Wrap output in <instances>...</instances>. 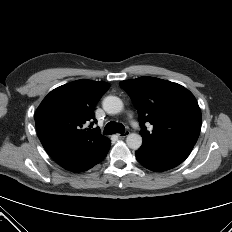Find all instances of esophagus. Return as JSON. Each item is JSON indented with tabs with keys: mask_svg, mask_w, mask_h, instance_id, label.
Masks as SVG:
<instances>
[{
	"mask_svg": "<svg viewBox=\"0 0 232 232\" xmlns=\"http://www.w3.org/2000/svg\"><path fill=\"white\" fill-rule=\"evenodd\" d=\"M129 134H130L129 131H125L124 133L117 134V136H118L119 138H125V137H127Z\"/></svg>",
	"mask_w": 232,
	"mask_h": 232,
	"instance_id": "1",
	"label": "esophagus"
}]
</instances>
